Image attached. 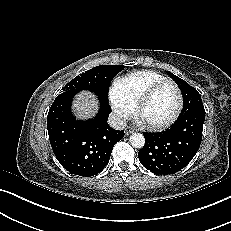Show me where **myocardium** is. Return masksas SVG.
<instances>
[{
  "instance_id": "1",
  "label": "myocardium",
  "mask_w": 231,
  "mask_h": 231,
  "mask_svg": "<svg viewBox=\"0 0 231 231\" xmlns=\"http://www.w3.org/2000/svg\"><path fill=\"white\" fill-rule=\"evenodd\" d=\"M166 84L172 85L176 93V105H175V108L171 116L166 121L161 122V123H152V122H147L143 120L141 118V112H142L143 107L145 106L147 101L150 99V97L153 95V93L159 87L166 85ZM182 104H183L182 93H181L179 86L176 84V82H174L171 79H163L155 83L154 85H152L150 88H148L145 91V93L140 97L134 109V117L137 121H140L141 123H143L146 127L150 129H154V130L163 129V128L168 127L170 124H172L176 120L182 108Z\"/></svg>"
}]
</instances>
